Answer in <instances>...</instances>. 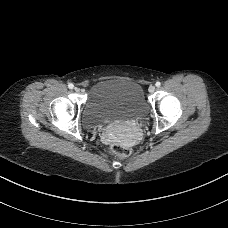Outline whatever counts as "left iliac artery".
<instances>
[{"label":"left iliac artery","instance_id":"44dca946","mask_svg":"<svg viewBox=\"0 0 228 228\" xmlns=\"http://www.w3.org/2000/svg\"><path fill=\"white\" fill-rule=\"evenodd\" d=\"M155 85H156L157 87H160L161 83L158 81V82H156Z\"/></svg>","mask_w":228,"mask_h":228}]
</instances>
